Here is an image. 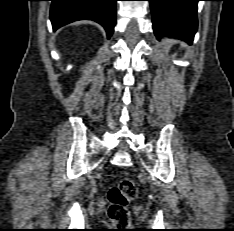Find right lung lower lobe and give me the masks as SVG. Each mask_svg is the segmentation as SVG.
<instances>
[{"mask_svg": "<svg viewBox=\"0 0 234 231\" xmlns=\"http://www.w3.org/2000/svg\"><path fill=\"white\" fill-rule=\"evenodd\" d=\"M50 19L56 30L68 23L89 19L101 24L110 38L116 23L117 0H51Z\"/></svg>", "mask_w": 234, "mask_h": 231, "instance_id": "98d812e1", "label": "right lung lower lobe"}]
</instances>
